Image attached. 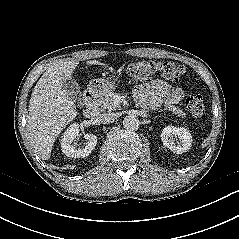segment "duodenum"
Returning <instances> with one entry per match:
<instances>
[{
    "instance_id": "410a0bca",
    "label": "duodenum",
    "mask_w": 239,
    "mask_h": 239,
    "mask_svg": "<svg viewBox=\"0 0 239 239\" xmlns=\"http://www.w3.org/2000/svg\"><path fill=\"white\" fill-rule=\"evenodd\" d=\"M83 114L86 118L91 119L98 115L97 94L94 90L89 89L84 96Z\"/></svg>"
}]
</instances>
